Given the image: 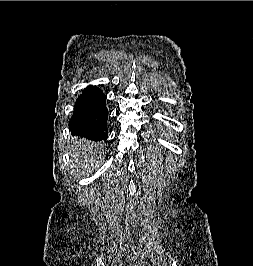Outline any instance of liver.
<instances>
[{
	"mask_svg": "<svg viewBox=\"0 0 253 266\" xmlns=\"http://www.w3.org/2000/svg\"><path fill=\"white\" fill-rule=\"evenodd\" d=\"M74 147L72 150V157L77 161L86 164L93 162L92 155L97 152L96 145L85 139L74 140Z\"/></svg>",
	"mask_w": 253,
	"mask_h": 266,
	"instance_id": "6515ba94",
	"label": "liver"
}]
</instances>
